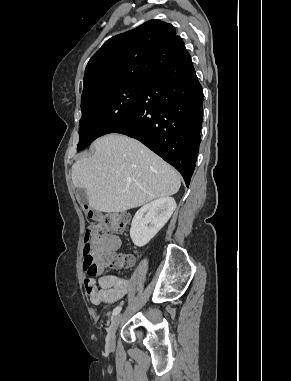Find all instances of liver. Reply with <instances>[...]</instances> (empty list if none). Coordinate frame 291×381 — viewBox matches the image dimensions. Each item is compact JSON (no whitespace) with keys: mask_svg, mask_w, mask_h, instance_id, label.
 <instances>
[{"mask_svg":"<svg viewBox=\"0 0 291 381\" xmlns=\"http://www.w3.org/2000/svg\"><path fill=\"white\" fill-rule=\"evenodd\" d=\"M94 147L92 157L72 166L73 184L85 189L94 210L124 212L178 192L179 174L139 141L109 134Z\"/></svg>","mask_w":291,"mask_h":381,"instance_id":"obj_1","label":"liver"}]
</instances>
